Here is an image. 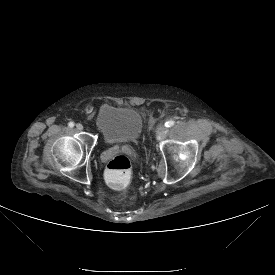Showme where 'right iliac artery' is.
Returning a JSON list of instances; mask_svg holds the SVG:
<instances>
[{
    "instance_id": "82829eb1",
    "label": "right iliac artery",
    "mask_w": 275,
    "mask_h": 275,
    "mask_svg": "<svg viewBox=\"0 0 275 275\" xmlns=\"http://www.w3.org/2000/svg\"><path fill=\"white\" fill-rule=\"evenodd\" d=\"M68 126L71 127V128L74 127V122H69Z\"/></svg>"
}]
</instances>
